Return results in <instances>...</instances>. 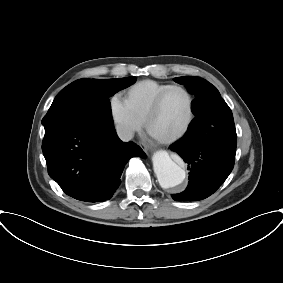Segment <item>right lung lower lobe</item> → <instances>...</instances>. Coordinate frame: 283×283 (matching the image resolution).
Segmentation results:
<instances>
[{
  "instance_id": "obj_1",
  "label": "right lung lower lobe",
  "mask_w": 283,
  "mask_h": 283,
  "mask_svg": "<svg viewBox=\"0 0 283 283\" xmlns=\"http://www.w3.org/2000/svg\"><path fill=\"white\" fill-rule=\"evenodd\" d=\"M42 151L50 177L85 202L110 199L127 161L145 157L137 144L118 138L114 125L67 121L45 128Z\"/></svg>"
}]
</instances>
